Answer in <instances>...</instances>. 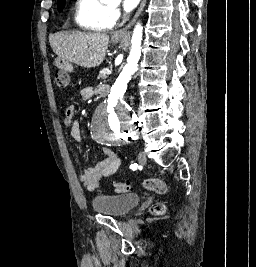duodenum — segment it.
Masks as SVG:
<instances>
[{"mask_svg":"<svg viewBox=\"0 0 256 267\" xmlns=\"http://www.w3.org/2000/svg\"><path fill=\"white\" fill-rule=\"evenodd\" d=\"M59 72L60 73H72L73 72V66H65V68H60ZM96 86L98 87L99 93H100L98 95V98L99 99H108L109 98L108 94L110 93L109 86L105 85L104 82H97Z\"/></svg>","mask_w":256,"mask_h":267,"instance_id":"duodenum-1","label":"duodenum"}]
</instances>
